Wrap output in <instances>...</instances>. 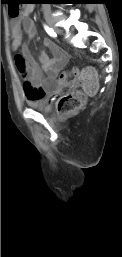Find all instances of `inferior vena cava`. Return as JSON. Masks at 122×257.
Returning <instances> with one entry per match:
<instances>
[{
    "instance_id": "602c4592",
    "label": "inferior vena cava",
    "mask_w": 122,
    "mask_h": 257,
    "mask_svg": "<svg viewBox=\"0 0 122 257\" xmlns=\"http://www.w3.org/2000/svg\"><path fill=\"white\" fill-rule=\"evenodd\" d=\"M50 5L49 4H43V9H49Z\"/></svg>"
}]
</instances>
